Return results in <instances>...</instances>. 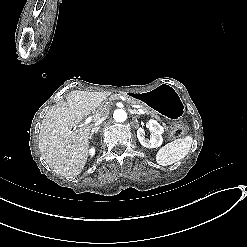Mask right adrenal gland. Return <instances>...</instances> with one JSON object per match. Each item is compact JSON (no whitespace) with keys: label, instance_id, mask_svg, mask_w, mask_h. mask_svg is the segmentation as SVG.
<instances>
[{"label":"right adrenal gland","instance_id":"1","mask_svg":"<svg viewBox=\"0 0 247 247\" xmlns=\"http://www.w3.org/2000/svg\"><path fill=\"white\" fill-rule=\"evenodd\" d=\"M99 128L100 127H97V128H92V130H91V133L89 134V138L91 139L92 138V135L94 134V133H97L98 132V130H99Z\"/></svg>","mask_w":247,"mask_h":247}]
</instances>
